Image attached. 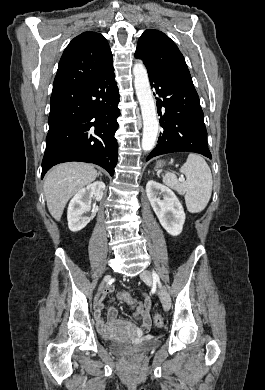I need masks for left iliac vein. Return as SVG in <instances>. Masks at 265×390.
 I'll return each instance as SVG.
<instances>
[{
  "mask_svg": "<svg viewBox=\"0 0 265 390\" xmlns=\"http://www.w3.org/2000/svg\"><path fill=\"white\" fill-rule=\"evenodd\" d=\"M140 277L145 283L153 282V276L151 271L149 270H143L140 274ZM158 295L160 297L164 310L168 311L171 306V299L166 289L160 284L158 285Z\"/></svg>",
  "mask_w": 265,
  "mask_h": 390,
  "instance_id": "obj_1",
  "label": "left iliac vein"
}]
</instances>
